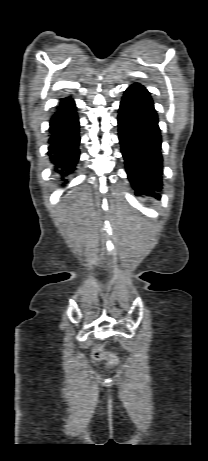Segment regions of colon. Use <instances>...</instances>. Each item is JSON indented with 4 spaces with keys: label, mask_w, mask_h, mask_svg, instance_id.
Masks as SVG:
<instances>
[{
    "label": "colon",
    "mask_w": 208,
    "mask_h": 461,
    "mask_svg": "<svg viewBox=\"0 0 208 461\" xmlns=\"http://www.w3.org/2000/svg\"><path fill=\"white\" fill-rule=\"evenodd\" d=\"M93 358L97 361L105 360L109 365L117 363V357L113 352L105 351L101 345H97L93 350Z\"/></svg>",
    "instance_id": "1"
}]
</instances>
